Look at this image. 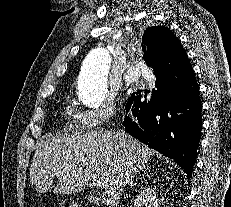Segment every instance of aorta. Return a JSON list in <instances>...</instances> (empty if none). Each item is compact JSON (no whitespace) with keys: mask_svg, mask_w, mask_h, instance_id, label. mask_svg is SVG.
<instances>
[{"mask_svg":"<svg viewBox=\"0 0 231 207\" xmlns=\"http://www.w3.org/2000/svg\"><path fill=\"white\" fill-rule=\"evenodd\" d=\"M110 63V54L104 47L92 49L85 57L78 79L79 99L85 106L98 108L105 102Z\"/></svg>","mask_w":231,"mask_h":207,"instance_id":"762f6f07","label":"aorta"}]
</instances>
